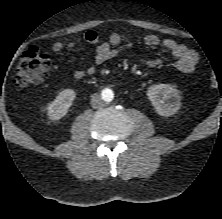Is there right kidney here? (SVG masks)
<instances>
[{"label":"right kidney","instance_id":"ca27d5eb","mask_svg":"<svg viewBox=\"0 0 222 219\" xmlns=\"http://www.w3.org/2000/svg\"><path fill=\"white\" fill-rule=\"evenodd\" d=\"M76 97V93L72 89L62 90L47 107L48 117L53 120H59L64 117L70 106L72 105L73 100Z\"/></svg>","mask_w":222,"mask_h":219}]
</instances>
